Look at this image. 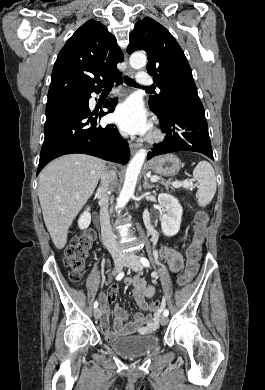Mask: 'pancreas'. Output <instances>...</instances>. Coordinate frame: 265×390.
<instances>
[{"label":"pancreas","instance_id":"pancreas-1","mask_svg":"<svg viewBox=\"0 0 265 390\" xmlns=\"http://www.w3.org/2000/svg\"><path fill=\"white\" fill-rule=\"evenodd\" d=\"M160 184L165 186L166 188L171 187L172 189L180 188L181 186H174L173 183L170 180H161Z\"/></svg>","mask_w":265,"mask_h":390}]
</instances>
